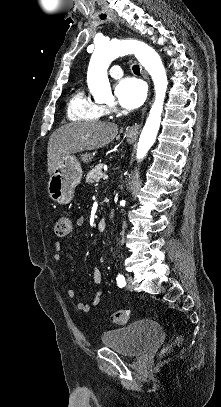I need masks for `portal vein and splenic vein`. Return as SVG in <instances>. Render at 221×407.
Segmentation results:
<instances>
[{"mask_svg":"<svg viewBox=\"0 0 221 407\" xmlns=\"http://www.w3.org/2000/svg\"><path fill=\"white\" fill-rule=\"evenodd\" d=\"M102 179H103V180H107V179H108V175H103V176H102Z\"/></svg>","mask_w":221,"mask_h":407,"instance_id":"1","label":"portal vein and splenic vein"}]
</instances>
